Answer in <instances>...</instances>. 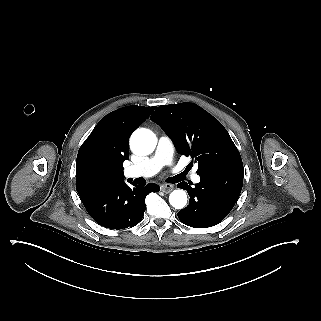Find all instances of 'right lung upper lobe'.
Wrapping results in <instances>:
<instances>
[{"label":"right lung upper lobe","mask_w":321,"mask_h":321,"mask_svg":"<svg viewBox=\"0 0 321 321\" xmlns=\"http://www.w3.org/2000/svg\"><path fill=\"white\" fill-rule=\"evenodd\" d=\"M155 108L135 105L123 107L106 115L95 126L78 151V193L125 183L123 162L128 159L129 138Z\"/></svg>","instance_id":"right-lung-upper-lobe-1"}]
</instances>
